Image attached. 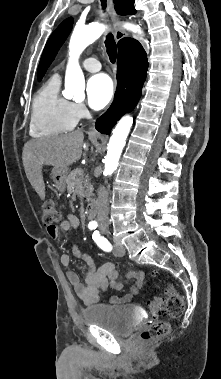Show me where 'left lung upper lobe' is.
<instances>
[{
  "instance_id": "1",
  "label": "left lung upper lobe",
  "mask_w": 221,
  "mask_h": 379,
  "mask_svg": "<svg viewBox=\"0 0 221 379\" xmlns=\"http://www.w3.org/2000/svg\"><path fill=\"white\" fill-rule=\"evenodd\" d=\"M116 11L119 14H135L134 0H114ZM73 24V18L63 21L49 37L38 67V79L41 80L47 68L55 58L60 46L69 35Z\"/></svg>"
}]
</instances>
